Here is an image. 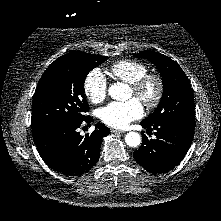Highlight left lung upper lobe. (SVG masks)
I'll return each mask as SVG.
<instances>
[{
    "label": "left lung upper lobe",
    "mask_w": 221,
    "mask_h": 221,
    "mask_svg": "<svg viewBox=\"0 0 221 221\" xmlns=\"http://www.w3.org/2000/svg\"><path fill=\"white\" fill-rule=\"evenodd\" d=\"M133 55L149 59L158 69L163 82V96L158 107L142 122H173L194 129V97L189 79L179 64L154 51H142Z\"/></svg>",
    "instance_id": "obj_1"
}]
</instances>
